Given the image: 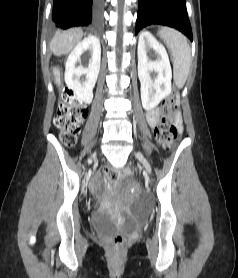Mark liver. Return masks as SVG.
I'll return each mask as SVG.
<instances>
[{"mask_svg": "<svg viewBox=\"0 0 238 278\" xmlns=\"http://www.w3.org/2000/svg\"><path fill=\"white\" fill-rule=\"evenodd\" d=\"M81 29H70L68 31L57 34L50 43V49L56 56H61L69 53L73 47L79 43L83 37ZM55 83L61 85L60 72L58 68L53 69Z\"/></svg>", "mask_w": 238, "mask_h": 278, "instance_id": "1", "label": "liver"}]
</instances>
